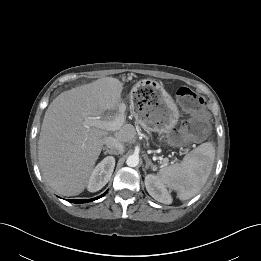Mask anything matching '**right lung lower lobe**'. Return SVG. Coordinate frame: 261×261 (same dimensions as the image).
I'll use <instances>...</instances> for the list:
<instances>
[{
  "label": "right lung lower lobe",
  "instance_id": "98d812e1",
  "mask_svg": "<svg viewBox=\"0 0 261 261\" xmlns=\"http://www.w3.org/2000/svg\"><path fill=\"white\" fill-rule=\"evenodd\" d=\"M106 193H104L103 195L99 196V197H96V198H93V199H88V200H80V199H77V200H70V202H73V203H86V202H91V201H94L102 196H104Z\"/></svg>",
  "mask_w": 261,
  "mask_h": 261
}]
</instances>
